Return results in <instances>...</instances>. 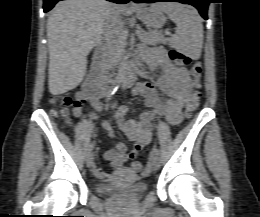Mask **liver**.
Instances as JSON below:
<instances>
[{"label":"liver","instance_id":"1","mask_svg":"<svg viewBox=\"0 0 260 217\" xmlns=\"http://www.w3.org/2000/svg\"><path fill=\"white\" fill-rule=\"evenodd\" d=\"M113 8L125 9L106 0H65L50 11L48 85L52 95L64 94L83 81L87 55L100 43Z\"/></svg>","mask_w":260,"mask_h":217}]
</instances>
